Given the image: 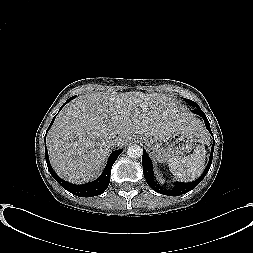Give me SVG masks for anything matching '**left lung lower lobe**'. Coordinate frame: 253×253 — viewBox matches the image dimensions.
Here are the masks:
<instances>
[{"mask_svg": "<svg viewBox=\"0 0 253 253\" xmlns=\"http://www.w3.org/2000/svg\"><path fill=\"white\" fill-rule=\"evenodd\" d=\"M190 105L194 107V110H192V112L195 113V114L200 115L204 119L206 128L208 129V131L213 136V134L211 132V129H210L209 121L207 120V117L204 114V112L200 109L198 104L193 102V103H190ZM213 150H214V143H213L212 148H211L209 163H208L207 167L205 168L203 174L197 180H195L193 182H190V183L176 182L174 184V188L172 190H167L164 187H162L161 185H159V183H157V181L155 180L154 174H153L152 161H151L150 157L148 156V154L146 153V151L143 149L142 165H143L144 177H145L148 185L153 190L157 191L158 193L168 195V196H179V195L185 194V193L191 191L193 188H195L203 180V178L206 176L207 172L210 169L211 163H212Z\"/></svg>", "mask_w": 253, "mask_h": 253, "instance_id": "left-lung-lower-lobe-1", "label": "left lung lower lobe"}]
</instances>
